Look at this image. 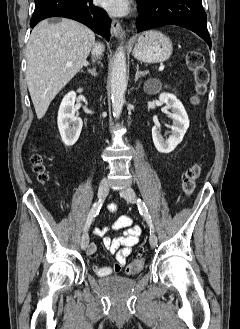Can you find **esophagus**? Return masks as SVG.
<instances>
[{
	"label": "esophagus",
	"instance_id": "1",
	"mask_svg": "<svg viewBox=\"0 0 240 329\" xmlns=\"http://www.w3.org/2000/svg\"><path fill=\"white\" fill-rule=\"evenodd\" d=\"M111 34L115 37H121L123 35L120 22L115 18L111 21Z\"/></svg>",
	"mask_w": 240,
	"mask_h": 329
}]
</instances>
